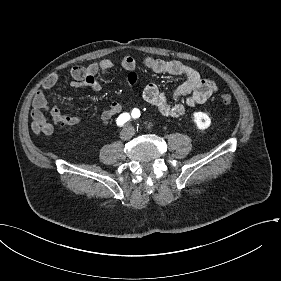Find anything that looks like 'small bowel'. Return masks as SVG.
Listing matches in <instances>:
<instances>
[{
	"mask_svg": "<svg viewBox=\"0 0 281 281\" xmlns=\"http://www.w3.org/2000/svg\"><path fill=\"white\" fill-rule=\"evenodd\" d=\"M143 64L147 69L155 73L180 75L185 78V82L176 89L171 99L155 84H148L143 89V99L165 117L179 118L183 116L188 109L207 101L218 89V85L214 80L202 77L198 70L178 60L147 57ZM115 67H120L128 72L127 80L129 85L136 84L137 74L135 70L137 62L134 58L125 56L119 60L103 59L92 62L87 66L72 67L70 71L73 78L71 87L75 89L87 87L94 92H99L102 87L96 76L106 74ZM57 81L58 75L56 73L48 76L43 83L42 89L34 97L31 118L35 139H40L41 133L50 136L59 129L78 124L81 120L78 116L62 113L60 105H69L66 101L54 98L53 105L50 106L45 92L51 90ZM121 110V104L113 101L102 112L101 119L108 121L118 115ZM47 111L52 116V122L45 118L44 113ZM35 130H38V132H35Z\"/></svg>",
	"mask_w": 281,
	"mask_h": 281,
	"instance_id": "1",
	"label": "small bowel"
}]
</instances>
